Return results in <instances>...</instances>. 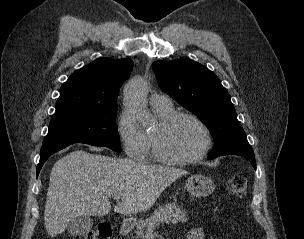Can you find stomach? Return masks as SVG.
<instances>
[{
  "instance_id": "stomach-1",
  "label": "stomach",
  "mask_w": 304,
  "mask_h": 239,
  "mask_svg": "<svg viewBox=\"0 0 304 239\" xmlns=\"http://www.w3.org/2000/svg\"><path fill=\"white\" fill-rule=\"evenodd\" d=\"M185 187L192 196L205 197L213 192L215 184L211 178L196 174L186 180Z\"/></svg>"
}]
</instances>
